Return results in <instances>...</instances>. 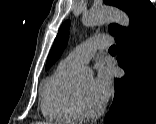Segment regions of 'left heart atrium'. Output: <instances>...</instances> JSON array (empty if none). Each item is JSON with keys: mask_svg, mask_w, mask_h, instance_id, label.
<instances>
[{"mask_svg": "<svg viewBox=\"0 0 156 124\" xmlns=\"http://www.w3.org/2000/svg\"><path fill=\"white\" fill-rule=\"evenodd\" d=\"M92 91L101 104L108 100L112 92V75L107 67L103 65L98 67L97 74L92 80Z\"/></svg>", "mask_w": 156, "mask_h": 124, "instance_id": "1", "label": "left heart atrium"}]
</instances>
